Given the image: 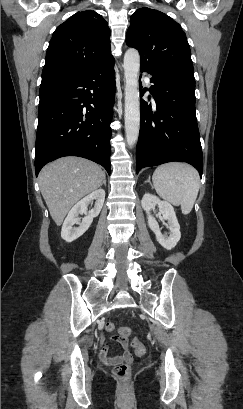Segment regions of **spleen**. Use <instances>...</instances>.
<instances>
[{
	"instance_id": "obj_1",
	"label": "spleen",
	"mask_w": 243,
	"mask_h": 409,
	"mask_svg": "<svg viewBox=\"0 0 243 409\" xmlns=\"http://www.w3.org/2000/svg\"><path fill=\"white\" fill-rule=\"evenodd\" d=\"M157 194L173 205H180L183 214L191 212L199 191L198 172L185 163H167L157 167L152 176Z\"/></svg>"
}]
</instances>
